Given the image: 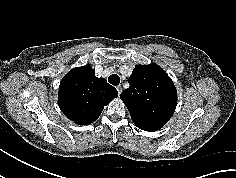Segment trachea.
I'll return each instance as SVG.
<instances>
[{
    "instance_id": "1",
    "label": "trachea",
    "mask_w": 236,
    "mask_h": 178,
    "mask_svg": "<svg viewBox=\"0 0 236 178\" xmlns=\"http://www.w3.org/2000/svg\"><path fill=\"white\" fill-rule=\"evenodd\" d=\"M108 82L114 86H117L120 83V77L117 74H112L109 76Z\"/></svg>"
}]
</instances>
